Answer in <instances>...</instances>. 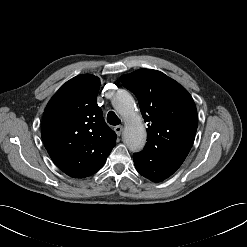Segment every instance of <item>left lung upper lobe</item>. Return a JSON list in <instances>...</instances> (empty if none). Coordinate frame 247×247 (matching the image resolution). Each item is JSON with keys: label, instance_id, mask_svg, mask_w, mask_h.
<instances>
[{"label": "left lung upper lobe", "instance_id": "5c2ea615", "mask_svg": "<svg viewBox=\"0 0 247 247\" xmlns=\"http://www.w3.org/2000/svg\"><path fill=\"white\" fill-rule=\"evenodd\" d=\"M121 82L135 94L142 116L148 122L145 149L137 154L186 157L198 125L196 106L188 91L152 69L124 75Z\"/></svg>", "mask_w": 247, "mask_h": 247}]
</instances>
